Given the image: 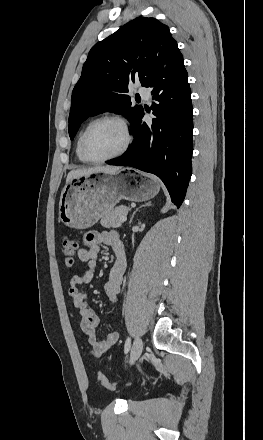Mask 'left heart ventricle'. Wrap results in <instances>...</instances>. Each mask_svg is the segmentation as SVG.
I'll use <instances>...</instances> for the list:
<instances>
[{
	"label": "left heart ventricle",
	"instance_id": "obj_1",
	"mask_svg": "<svg viewBox=\"0 0 263 440\" xmlns=\"http://www.w3.org/2000/svg\"><path fill=\"white\" fill-rule=\"evenodd\" d=\"M122 129L114 122L104 121L97 124L89 133L86 148L95 158L105 157L116 152L123 144Z\"/></svg>",
	"mask_w": 263,
	"mask_h": 440
}]
</instances>
